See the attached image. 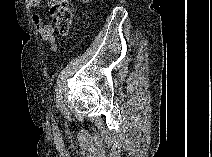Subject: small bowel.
Segmentation results:
<instances>
[{
    "label": "small bowel",
    "instance_id": "small-bowel-1",
    "mask_svg": "<svg viewBox=\"0 0 212 157\" xmlns=\"http://www.w3.org/2000/svg\"><path fill=\"white\" fill-rule=\"evenodd\" d=\"M41 4V0H28L26 5L28 8H37ZM32 23L38 29L42 39L48 43L51 52H56L58 49L57 41L54 36V28L51 24H45L39 14L32 15Z\"/></svg>",
    "mask_w": 212,
    "mask_h": 157
}]
</instances>
